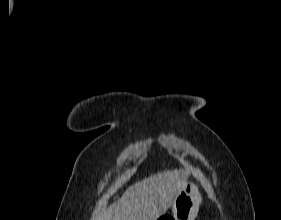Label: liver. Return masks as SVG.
<instances>
[{
  "mask_svg": "<svg viewBox=\"0 0 281 220\" xmlns=\"http://www.w3.org/2000/svg\"><path fill=\"white\" fill-rule=\"evenodd\" d=\"M184 169L165 170L135 183L109 208H101L92 220H157L166 213L187 183Z\"/></svg>",
  "mask_w": 281,
  "mask_h": 220,
  "instance_id": "1",
  "label": "liver"
}]
</instances>
